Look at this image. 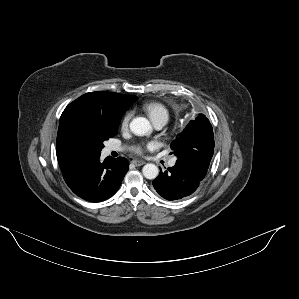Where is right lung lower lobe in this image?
Wrapping results in <instances>:
<instances>
[{
  "label": "right lung lower lobe",
  "mask_w": 299,
  "mask_h": 299,
  "mask_svg": "<svg viewBox=\"0 0 299 299\" xmlns=\"http://www.w3.org/2000/svg\"><path fill=\"white\" fill-rule=\"evenodd\" d=\"M128 168L129 162L123 157H107L101 162L100 154H95L63 174L76 195L87 201L100 202L115 194Z\"/></svg>",
  "instance_id": "98d812e1"
}]
</instances>
